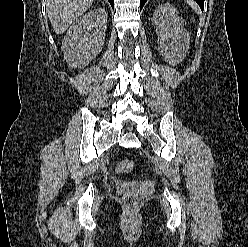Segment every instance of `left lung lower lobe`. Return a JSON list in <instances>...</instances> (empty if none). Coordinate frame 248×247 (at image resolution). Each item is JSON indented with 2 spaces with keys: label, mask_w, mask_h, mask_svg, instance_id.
Wrapping results in <instances>:
<instances>
[{
  "label": "left lung lower lobe",
  "mask_w": 248,
  "mask_h": 247,
  "mask_svg": "<svg viewBox=\"0 0 248 247\" xmlns=\"http://www.w3.org/2000/svg\"><path fill=\"white\" fill-rule=\"evenodd\" d=\"M146 1L147 0H140V10L143 8V6H144ZM195 1L199 4L200 8L203 10V8H204V0H195Z\"/></svg>",
  "instance_id": "0a47b994"
}]
</instances>
